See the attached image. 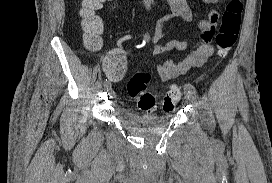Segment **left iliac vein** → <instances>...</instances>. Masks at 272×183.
Returning <instances> with one entry per match:
<instances>
[{
	"label": "left iliac vein",
	"mask_w": 272,
	"mask_h": 183,
	"mask_svg": "<svg viewBox=\"0 0 272 183\" xmlns=\"http://www.w3.org/2000/svg\"><path fill=\"white\" fill-rule=\"evenodd\" d=\"M186 98L192 103L196 102V96L194 94H192V93H188L186 95Z\"/></svg>",
	"instance_id": "4c4485c4"
}]
</instances>
